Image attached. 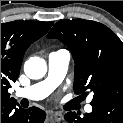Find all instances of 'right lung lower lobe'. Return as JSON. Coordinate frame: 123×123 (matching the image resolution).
Segmentation results:
<instances>
[{
    "mask_svg": "<svg viewBox=\"0 0 123 123\" xmlns=\"http://www.w3.org/2000/svg\"><path fill=\"white\" fill-rule=\"evenodd\" d=\"M13 101H1V123H43L46 114L37 107L22 109Z\"/></svg>",
    "mask_w": 123,
    "mask_h": 123,
    "instance_id": "obj_1",
    "label": "right lung lower lobe"
}]
</instances>
